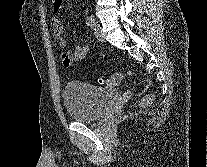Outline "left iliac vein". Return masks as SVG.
Here are the masks:
<instances>
[{"label":"left iliac vein","mask_w":207,"mask_h":167,"mask_svg":"<svg viewBox=\"0 0 207 167\" xmlns=\"http://www.w3.org/2000/svg\"><path fill=\"white\" fill-rule=\"evenodd\" d=\"M94 33H95L96 38L99 41H101V42L105 41L104 34L102 32V28L99 24H96L95 29H94Z\"/></svg>","instance_id":"4c4485c4"}]
</instances>
